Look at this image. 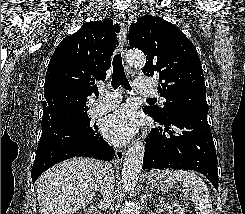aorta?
<instances>
[{
  "label": "aorta",
  "instance_id": "obj_1",
  "mask_svg": "<svg viewBox=\"0 0 245 214\" xmlns=\"http://www.w3.org/2000/svg\"><path fill=\"white\" fill-rule=\"evenodd\" d=\"M126 61L131 66H143L146 57L142 52L130 51L126 56ZM144 145L136 140L128 149L122 169V184L126 193L134 192L140 171L143 165Z\"/></svg>",
  "mask_w": 245,
  "mask_h": 214
}]
</instances>
